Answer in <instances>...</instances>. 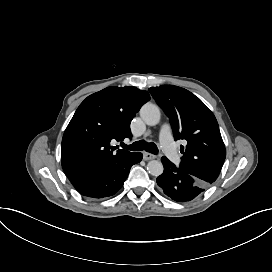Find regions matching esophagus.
I'll return each mask as SVG.
<instances>
[{"mask_svg": "<svg viewBox=\"0 0 272 272\" xmlns=\"http://www.w3.org/2000/svg\"><path fill=\"white\" fill-rule=\"evenodd\" d=\"M155 158H156L155 155L148 153V152H143V160H152Z\"/></svg>", "mask_w": 272, "mask_h": 272, "instance_id": "esophagus-1", "label": "esophagus"}]
</instances>
